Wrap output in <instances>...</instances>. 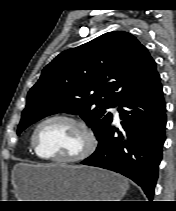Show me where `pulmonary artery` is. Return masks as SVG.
<instances>
[{
  "label": "pulmonary artery",
  "mask_w": 176,
  "mask_h": 211,
  "mask_svg": "<svg viewBox=\"0 0 176 211\" xmlns=\"http://www.w3.org/2000/svg\"><path fill=\"white\" fill-rule=\"evenodd\" d=\"M113 113H114V118H115V121L118 122L119 121V111H118V108L115 107L112 109Z\"/></svg>",
  "instance_id": "1"
}]
</instances>
